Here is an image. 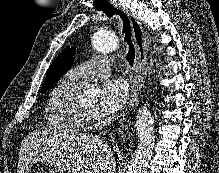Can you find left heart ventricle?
<instances>
[{
    "label": "left heart ventricle",
    "mask_w": 219,
    "mask_h": 173,
    "mask_svg": "<svg viewBox=\"0 0 219 173\" xmlns=\"http://www.w3.org/2000/svg\"><path fill=\"white\" fill-rule=\"evenodd\" d=\"M80 105L89 113L95 114L97 106V98H87L80 102Z\"/></svg>",
    "instance_id": "obj_1"
}]
</instances>
